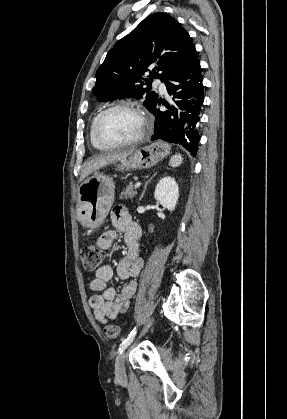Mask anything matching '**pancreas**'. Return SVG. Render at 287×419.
<instances>
[{
  "instance_id": "cf45deb5",
  "label": "pancreas",
  "mask_w": 287,
  "mask_h": 419,
  "mask_svg": "<svg viewBox=\"0 0 287 419\" xmlns=\"http://www.w3.org/2000/svg\"><path fill=\"white\" fill-rule=\"evenodd\" d=\"M136 194V191L134 190V185L132 183H129V185L121 192V196L124 198H133Z\"/></svg>"
}]
</instances>
